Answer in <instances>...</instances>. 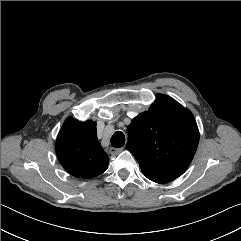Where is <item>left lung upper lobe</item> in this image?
<instances>
[{"mask_svg": "<svg viewBox=\"0 0 241 241\" xmlns=\"http://www.w3.org/2000/svg\"><path fill=\"white\" fill-rule=\"evenodd\" d=\"M127 149L151 181L167 183L190 165L199 142V130L190 110L173 98L158 94L150 109L127 127Z\"/></svg>", "mask_w": 241, "mask_h": 241, "instance_id": "obj_1", "label": "left lung upper lobe"}]
</instances>
